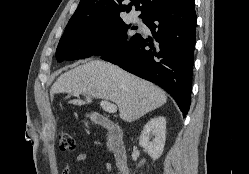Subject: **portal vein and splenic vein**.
<instances>
[{
	"label": "portal vein and splenic vein",
	"instance_id": "portal-vein-and-splenic-vein-1",
	"mask_svg": "<svg viewBox=\"0 0 249 174\" xmlns=\"http://www.w3.org/2000/svg\"><path fill=\"white\" fill-rule=\"evenodd\" d=\"M100 105L103 110H105L108 113H116L117 112V106L115 104H112L106 100H102L100 102Z\"/></svg>",
	"mask_w": 249,
	"mask_h": 174
}]
</instances>
